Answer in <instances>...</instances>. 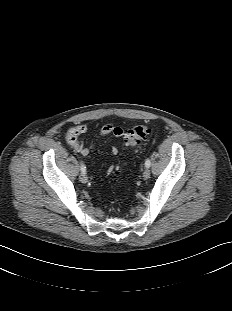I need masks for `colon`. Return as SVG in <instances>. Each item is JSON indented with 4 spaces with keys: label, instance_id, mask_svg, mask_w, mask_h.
<instances>
[{
    "label": "colon",
    "instance_id": "obj_1",
    "mask_svg": "<svg viewBox=\"0 0 232 311\" xmlns=\"http://www.w3.org/2000/svg\"><path fill=\"white\" fill-rule=\"evenodd\" d=\"M150 133L151 129L146 126H134L125 134L126 143L133 148H139ZM115 172L118 173L119 168H116Z\"/></svg>",
    "mask_w": 232,
    "mask_h": 311
}]
</instances>
